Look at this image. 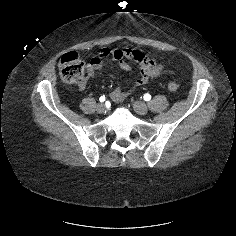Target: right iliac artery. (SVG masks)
<instances>
[{
  "instance_id": "obj_1",
  "label": "right iliac artery",
  "mask_w": 236,
  "mask_h": 236,
  "mask_svg": "<svg viewBox=\"0 0 236 236\" xmlns=\"http://www.w3.org/2000/svg\"><path fill=\"white\" fill-rule=\"evenodd\" d=\"M99 100H100V102H104V101H105V96H101V97L99 98Z\"/></svg>"
}]
</instances>
